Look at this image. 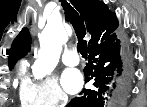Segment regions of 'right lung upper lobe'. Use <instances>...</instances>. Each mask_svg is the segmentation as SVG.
I'll return each mask as SVG.
<instances>
[{
	"instance_id": "1",
	"label": "right lung upper lobe",
	"mask_w": 147,
	"mask_h": 107,
	"mask_svg": "<svg viewBox=\"0 0 147 107\" xmlns=\"http://www.w3.org/2000/svg\"><path fill=\"white\" fill-rule=\"evenodd\" d=\"M79 11L80 18L86 22L87 31L91 34L88 46H95L114 33L118 27L115 13L111 12L103 2L97 0H71ZM31 45V36L27 28H23L14 39L9 52V67L24 57Z\"/></svg>"
}]
</instances>
